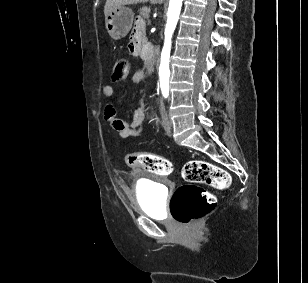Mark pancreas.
Instances as JSON below:
<instances>
[{"mask_svg": "<svg viewBox=\"0 0 308 283\" xmlns=\"http://www.w3.org/2000/svg\"><path fill=\"white\" fill-rule=\"evenodd\" d=\"M140 16H142L144 19H148L149 18V13H150V8L149 7H142L139 10Z\"/></svg>", "mask_w": 308, "mask_h": 283, "instance_id": "pancreas-1", "label": "pancreas"}]
</instances>
